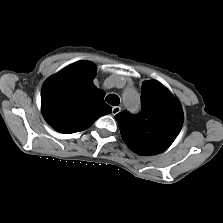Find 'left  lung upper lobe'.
<instances>
[{"mask_svg": "<svg viewBox=\"0 0 223 223\" xmlns=\"http://www.w3.org/2000/svg\"><path fill=\"white\" fill-rule=\"evenodd\" d=\"M142 111L115 116L122 138L134 152L150 156L163 152L178 136L183 124L179 102L158 81H146L141 88Z\"/></svg>", "mask_w": 223, "mask_h": 223, "instance_id": "left-lung-upper-lobe-1", "label": "left lung upper lobe"}]
</instances>
